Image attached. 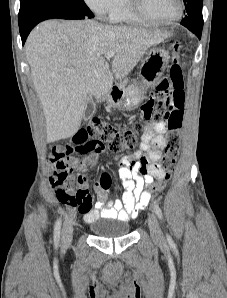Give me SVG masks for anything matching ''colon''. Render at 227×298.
Masks as SVG:
<instances>
[{
    "instance_id": "colon-1",
    "label": "colon",
    "mask_w": 227,
    "mask_h": 298,
    "mask_svg": "<svg viewBox=\"0 0 227 298\" xmlns=\"http://www.w3.org/2000/svg\"><path fill=\"white\" fill-rule=\"evenodd\" d=\"M171 49L173 63L167 80V82H170V92H156V96L162 95L163 99L157 100V103H145L155 104V107L159 108L155 115H144L146 126V118L150 117L152 125L166 123L168 127V133L165 136V156L160 161L164 174L148 186L146 191L149 194L161 191L170 178L178 149V130L182 127L183 122V108L185 104L184 80L182 69L178 63L181 45L174 43L171 45ZM165 98H170L171 102L165 103ZM164 110H169L170 114L164 115ZM162 117H166L167 121L162 122ZM142 129L143 125L136 123L129 129L119 130L114 125L95 118L86 127L80 129L74 135L72 143L66 146H81L82 142H109L110 146L107 148L112 151H121L126 148H132L136 144V136ZM92 137L94 139L89 140ZM110 183V176L104 173L100 181L101 188L107 190L110 187ZM56 193L58 200L68 205L78 203L81 198V193L72 188L58 189Z\"/></svg>"
}]
</instances>
